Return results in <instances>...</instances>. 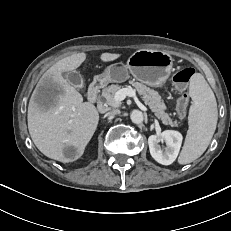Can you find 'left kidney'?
Returning a JSON list of instances; mask_svg holds the SVG:
<instances>
[{"label": "left kidney", "mask_w": 231, "mask_h": 231, "mask_svg": "<svg viewBox=\"0 0 231 231\" xmlns=\"http://www.w3.org/2000/svg\"><path fill=\"white\" fill-rule=\"evenodd\" d=\"M182 140V134L174 130H165L160 135H151L148 138L150 154L158 163L170 165L178 156ZM163 141L166 143L164 151L159 145Z\"/></svg>", "instance_id": "left-kidney-1"}]
</instances>
